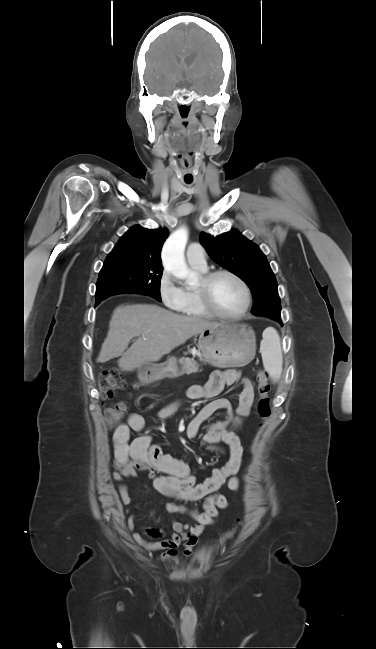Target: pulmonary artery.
I'll list each match as a JSON object with an SVG mask.
<instances>
[{"instance_id":"1","label":"pulmonary artery","mask_w":376,"mask_h":649,"mask_svg":"<svg viewBox=\"0 0 376 649\" xmlns=\"http://www.w3.org/2000/svg\"><path fill=\"white\" fill-rule=\"evenodd\" d=\"M187 261L192 266L206 268V256L202 245L199 243H192L188 246L186 252Z\"/></svg>"}]
</instances>
